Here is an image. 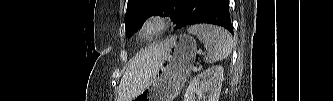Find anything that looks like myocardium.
Segmentation results:
<instances>
[{
	"label": "myocardium",
	"instance_id": "1",
	"mask_svg": "<svg viewBox=\"0 0 333 101\" xmlns=\"http://www.w3.org/2000/svg\"><path fill=\"white\" fill-rule=\"evenodd\" d=\"M170 25L168 16L153 14L143 20L139 27V35L147 40L153 39L164 33Z\"/></svg>",
	"mask_w": 333,
	"mask_h": 101
}]
</instances>
